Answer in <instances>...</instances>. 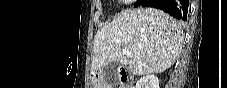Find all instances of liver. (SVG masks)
Returning <instances> with one entry per match:
<instances>
[{"label": "liver", "instance_id": "liver-1", "mask_svg": "<svg viewBox=\"0 0 227 88\" xmlns=\"http://www.w3.org/2000/svg\"><path fill=\"white\" fill-rule=\"evenodd\" d=\"M183 39L181 25L167 13L154 8L126 9L97 31L91 67L97 71L119 62L137 76L162 73L176 61Z\"/></svg>", "mask_w": 227, "mask_h": 88}]
</instances>
